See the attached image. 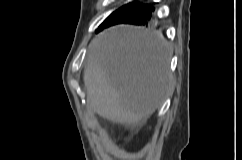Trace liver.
<instances>
[{
	"instance_id": "1",
	"label": "liver",
	"mask_w": 242,
	"mask_h": 160,
	"mask_svg": "<svg viewBox=\"0 0 242 160\" xmlns=\"http://www.w3.org/2000/svg\"><path fill=\"white\" fill-rule=\"evenodd\" d=\"M170 49L157 33L118 25L89 45L83 79L90 107L111 121L134 125L151 115L172 86Z\"/></svg>"
}]
</instances>
